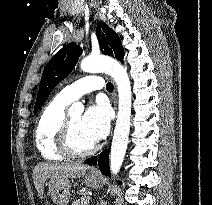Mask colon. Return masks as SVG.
Masks as SVG:
<instances>
[{
  "mask_svg": "<svg viewBox=\"0 0 212 205\" xmlns=\"http://www.w3.org/2000/svg\"><path fill=\"white\" fill-rule=\"evenodd\" d=\"M45 205H51L50 203H46Z\"/></svg>",
  "mask_w": 212,
  "mask_h": 205,
  "instance_id": "colon-1",
  "label": "colon"
}]
</instances>
